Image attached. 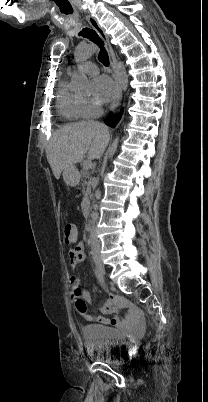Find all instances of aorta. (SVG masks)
Instances as JSON below:
<instances>
[{"label":"aorta","mask_w":208,"mask_h":402,"mask_svg":"<svg viewBox=\"0 0 208 402\" xmlns=\"http://www.w3.org/2000/svg\"><path fill=\"white\" fill-rule=\"evenodd\" d=\"M115 78H116L117 82H119L123 92H126V90L128 88V76L126 74V68H125L123 62H118V60H116V64H115ZM118 142H119V138H115L113 144H111V148H109V150L107 152L108 158H113V156L118 148Z\"/></svg>","instance_id":"obj_1"}]
</instances>
